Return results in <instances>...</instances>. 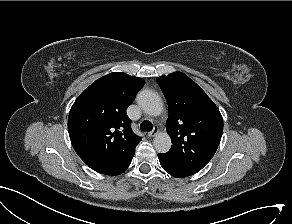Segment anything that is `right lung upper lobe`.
<instances>
[{"label": "right lung upper lobe", "instance_id": "cb5924a9", "mask_svg": "<svg viewBox=\"0 0 292 224\" xmlns=\"http://www.w3.org/2000/svg\"><path fill=\"white\" fill-rule=\"evenodd\" d=\"M144 84L141 78L113 72L93 82L76 99L68 131L84 162L119 160L135 153L141 137L133 133L126 109Z\"/></svg>", "mask_w": 292, "mask_h": 224}]
</instances>
